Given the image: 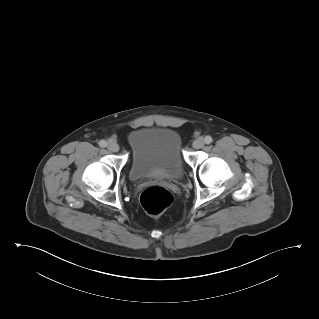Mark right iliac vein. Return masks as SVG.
Wrapping results in <instances>:
<instances>
[{
  "label": "right iliac vein",
  "instance_id": "63e3f726",
  "mask_svg": "<svg viewBox=\"0 0 319 319\" xmlns=\"http://www.w3.org/2000/svg\"><path fill=\"white\" fill-rule=\"evenodd\" d=\"M107 148L112 152L119 151V145L116 142H109L107 145Z\"/></svg>",
  "mask_w": 319,
  "mask_h": 319
}]
</instances>
